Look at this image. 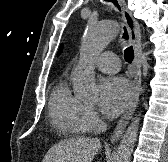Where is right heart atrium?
<instances>
[{
	"label": "right heart atrium",
	"mask_w": 168,
	"mask_h": 162,
	"mask_svg": "<svg viewBox=\"0 0 168 162\" xmlns=\"http://www.w3.org/2000/svg\"><path fill=\"white\" fill-rule=\"evenodd\" d=\"M83 117L86 125L90 129H97L101 126V119L93 106H84Z\"/></svg>",
	"instance_id": "d8ad5b80"
}]
</instances>
